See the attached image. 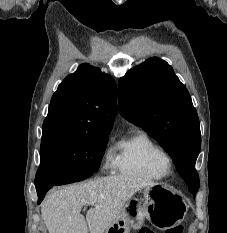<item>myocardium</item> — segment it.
<instances>
[{
  "label": "myocardium",
  "instance_id": "1",
  "mask_svg": "<svg viewBox=\"0 0 227 233\" xmlns=\"http://www.w3.org/2000/svg\"><path fill=\"white\" fill-rule=\"evenodd\" d=\"M159 169L164 176H169L170 174H172L173 161L168 155L160 160Z\"/></svg>",
  "mask_w": 227,
  "mask_h": 233
}]
</instances>
